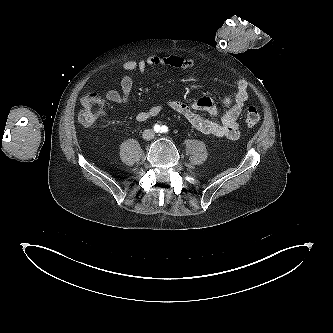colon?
Wrapping results in <instances>:
<instances>
[{"mask_svg": "<svg viewBox=\"0 0 333 333\" xmlns=\"http://www.w3.org/2000/svg\"><path fill=\"white\" fill-rule=\"evenodd\" d=\"M104 100L97 91L87 93L81 103L78 121L82 125H90L103 114ZM261 120L260 113L255 106H249L243 116V121L250 127L256 126Z\"/></svg>", "mask_w": 333, "mask_h": 333, "instance_id": "colon-1", "label": "colon"}]
</instances>
